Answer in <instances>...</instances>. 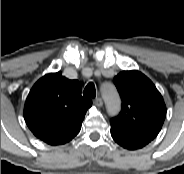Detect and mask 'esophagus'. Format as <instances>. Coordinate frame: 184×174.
<instances>
[{
  "instance_id": "obj_1",
  "label": "esophagus",
  "mask_w": 184,
  "mask_h": 174,
  "mask_svg": "<svg viewBox=\"0 0 184 174\" xmlns=\"http://www.w3.org/2000/svg\"><path fill=\"white\" fill-rule=\"evenodd\" d=\"M93 102L98 107H101L103 105L102 98H100V97L95 98Z\"/></svg>"
}]
</instances>
